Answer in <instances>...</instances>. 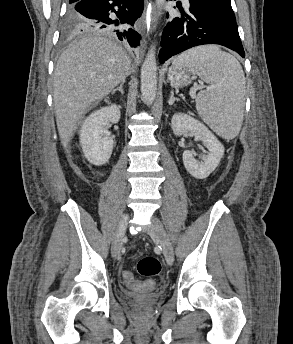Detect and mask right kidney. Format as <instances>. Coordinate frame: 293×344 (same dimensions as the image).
I'll use <instances>...</instances> for the list:
<instances>
[{
    "label": "right kidney",
    "instance_id": "right-kidney-1",
    "mask_svg": "<svg viewBox=\"0 0 293 344\" xmlns=\"http://www.w3.org/2000/svg\"><path fill=\"white\" fill-rule=\"evenodd\" d=\"M120 109L112 104L92 112L83 122L80 130V144L85 158L95 166L108 162L113 150L108 123H118Z\"/></svg>",
    "mask_w": 293,
    "mask_h": 344
}]
</instances>
